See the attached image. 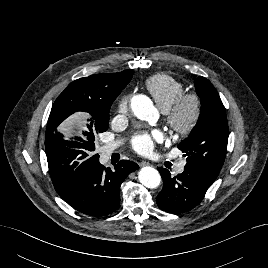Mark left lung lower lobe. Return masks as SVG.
I'll use <instances>...</instances> for the list:
<instances>
[{
    "instance_id": "left-lung-lower-lobe-1",
    "label": "left lung lower lobe",
    "mask_w": 268,
    "mask_h": 268,
    "mask_svg": "<svg viewBox=\"0 0 268 268\" xmlns=\"http://www.w3.org/2000/svg\"><path fill=\"white\" fill-rule=\"evenodd\" d=\"M158 170L163 179V188L156 201L159 208L167 212L184 213L193 209L203 200L213 182L189 168L175 177L167 169Z\"/></svg>"
}]
</instances>
